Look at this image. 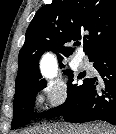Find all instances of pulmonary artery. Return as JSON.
I'll return each instance as SVG.
<instances>
[{
	"label": "pulmonary artery",
	"instance_id": "e3ab8cb5",
	"mask_svg": "<svg viewBox=\"0 0 116 134\" xmlns=\"http://www.w3.org/2000/svg\"><path fill=\"white\" fill-rule=\"evenodd\" d=\"M80 67L81 68H90L91 64H90V62L86 58H84V59H82L80 61Z\"/></svg>",
	"mask_w": 116,
	"mask_h": 134
}]
</instances>
